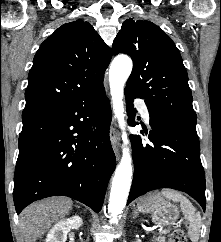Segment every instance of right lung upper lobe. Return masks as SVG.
<instances>
[{"instance_id": "cb5924a9", "label": "right lung upper lobe", "mask_w": 221, "mask_h": 242, "mask_svg": "<svg viewBox=\"0 0 221 242\" xmlns=\"http://www.w3.org/2000/svg\"><path fill=\"white\" fill-rule=\"evenodd\" d=\"M111 57L90 23L59 27L34 56L22 118L62 108L102 84Z\"/></svg>"}]
</instances>
